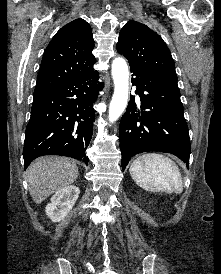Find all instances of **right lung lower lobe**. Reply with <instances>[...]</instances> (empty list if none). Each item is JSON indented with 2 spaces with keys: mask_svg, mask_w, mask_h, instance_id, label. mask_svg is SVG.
<instances>
[{
  "mask_svg": "<svg viewBox=\"0 0 221 274\" xmlns=\"http://www.w3.org/2000/svg\"><path fill=\"white\" fill-rule=\"evenodd\" d=\"M98 74L76 76L50 89L33 94L31 117L25 131V168L43 155L68 156L88 163L85 150L93 134L92 108Z\"/></svg>",
  "mask_w": 221,
  "mask_h": 274,
  "instance_id": "right-lung-lower-lobe-1",
  "label": "right lung lower lobe"
}]
</instances>
